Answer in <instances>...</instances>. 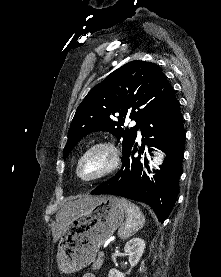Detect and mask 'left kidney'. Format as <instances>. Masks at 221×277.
<instances>
[{"mask_svg":"<svg viewBox=\"0 0 221 277\" xmlns=\"http://www.w3.org/2000/svg\"><path fill=\"white\" fill-rule=\"evenodd\" d=\"M144 249L145 242L139 237L132 238L126 243L124 251L125 254L128 255V260L131 266L130 270L126 274H130L131 269L138 264L144 253ZM126 274H123L116 269H111L109 271L108 277H125Z\"/></svg>","mask_w":221,"mask_h":277,"instance_id":"5707ae66","label":"left kidney"}]
</instances>
